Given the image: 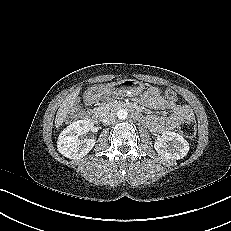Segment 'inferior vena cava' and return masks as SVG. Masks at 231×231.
<instances>
[{"mask_svg": "<svg viewBox=\"0 0 231 231\" xmlns=\"http://www.w3.org/2000/svg\"><path fill=\"white\" fill-rule=\"evenodd\" d=\"M116 119H117V116L115 113L107 112L103 115V118L101 121L104 125H111L116 121Z\"/></svg>", "mask_w": 231, "mask_h": 231, "instance_id": "obj_1", "label": "inferior vena cava"}]
</instances>
